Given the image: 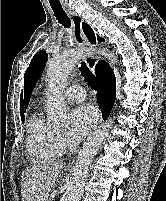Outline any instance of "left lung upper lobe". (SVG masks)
<instances>
[{
	"label": "left lung upper lobe",
	"instance_id": "1",
	"mask_svg": "<svg viewBox=\"0 0 166 201\" xmlns=\"http://www.w3.org/2000/svg\"><path fill=\"white\" fill-rule=\"evenodd\" d=\"M99 42L104 41L103 38L97 37ZM47 60V54L45 50H41L35 54L32 58L29 68L24 74V90H25V103L28 105L31 91L34 88V82L39 77L44 69L45 62Z\"/></svg>",
	"mask_w": 166,
	"mask_h": 201
}]
</instances>
